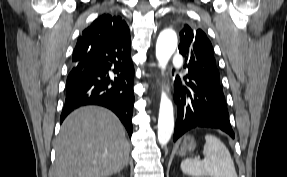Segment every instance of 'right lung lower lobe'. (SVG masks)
Here are the masks:
<instances>
[{"label":"right lung lower lobe","mask_w":287,"mask_h":177,"mask_svg":"<svg viewBox=\"0 0 287 177\" xmlns=\"http://www.w3.org/2000/svg\"><path fill=\"white\" fill-rule=\"evenodd\" d=\"M111 67L115 77H109ZM133 75L130 41L118 39L93 43L86 57L73 64L67 77L66 99L60 122L78 107L100 105L112 110L131 136L135 100Z\"/></svg>","instance_id":"98d812e1"}]
</instances>
